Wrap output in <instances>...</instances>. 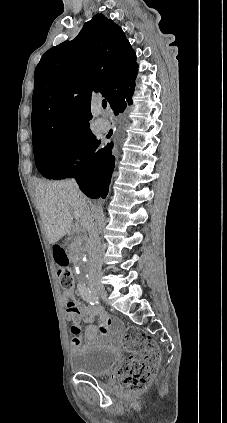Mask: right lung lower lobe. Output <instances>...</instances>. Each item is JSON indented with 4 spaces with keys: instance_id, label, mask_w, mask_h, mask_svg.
<instances>
[{
    "instance_id": "98d812e1",
    "label": "right lung lower lobe",
    "mask_w": 227,
    "mask_h": 423,
    "mask_svg": "<svg viewBox=\"0 0 227 423\" xmlns=\"http://www.w3.org/2000/svg\"><path fill=\"white\" fill-rule=\"evenodd\" d=\"M131 97L111 107L115 115L122 113L127 105L132 103ZM99 144L100 141L94 137L91 145L77 163L76 171L69 176L75 177L81 191L94 199L106 197L115 164L113 143L104 147H99Z\"/></svg>"
}]
</instances>
